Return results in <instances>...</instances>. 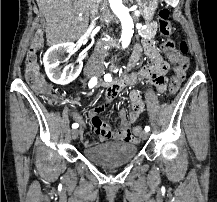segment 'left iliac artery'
<instances>
[{"instance_id": "obj_1", "label": "left iliac artery", "mask_w": 217, "mask_h": 202, "mask_svg": "<svg viewBox=\"0 0 217 202\" xmlns=\"http://www.w3.org/2000/svg\"><path fill=\"white\" fill-rule=\"evenodd\" d=\"M104 80H105L106 82H111V81H112V76H111V74H106V75H104ZM144 130H145L146 132L150 131V127H149V126H146V127L144 128Z\"/></svg>"}]
</instances>
